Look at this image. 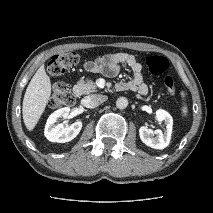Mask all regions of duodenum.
Instances as JSON below:
<instances>
[{"label": "duodenum", "mask_w": 213, "mask_h": 213, "mask_svg": "<svg viewBox=\"0 0 213 213\" xmlns=\"http://www.w3.org/2000/svg\"><path fill=\"white\" fill-rule=\"evenodd\" d=\"M73 94L75 97H79L81 95V90L79 88H75Z\"/></svg>", "instance_id": "obj_1"}]
</instances>
